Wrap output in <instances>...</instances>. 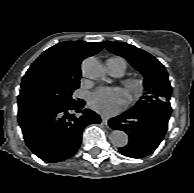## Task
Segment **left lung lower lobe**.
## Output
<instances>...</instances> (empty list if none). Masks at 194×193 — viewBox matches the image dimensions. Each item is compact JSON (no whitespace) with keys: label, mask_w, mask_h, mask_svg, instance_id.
<instances>
[{"label":"left lung lower lobe","mask_w":194,"mask_h":193,"mask_svg":"<svg viewBox=\"0 0 194 193\" xmlns=\"http://www.w3.org/2000/svg\"><path fill=\"white\" fill-rule=\"evenodd\" d=\"M171 115L169 101L132 108L112 118L108 124L114 130H122L129 136L120 153L132 158H142L153 153L164 138Z\"/></svg>","instance_id":"left-lung-lower-lobe-1"}]
</instances>
